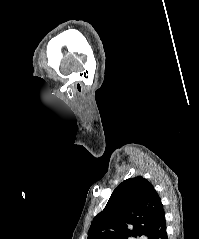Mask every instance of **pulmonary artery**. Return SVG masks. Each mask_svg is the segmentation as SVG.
<instances>
[{
    "label": "pulmonary artery",
    "instance_id": "1",
    "mask_svg": "<svg viewBox=\"0 0 199 239\" xmlns=\"http://www.w3.org/2000/svg\"><path fill=\"white\" fill-rule=\"evenodd\" d=\"M142 239H146V237L143 236Z\"/></svg>",
    "mask_w": 199,
    "mask_h": 239
}]
</instances>
